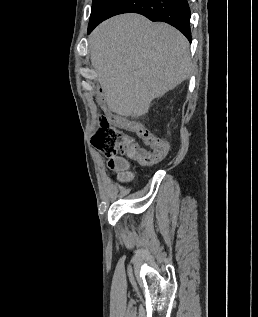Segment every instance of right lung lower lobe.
Wrapping results in <instances>:
<instances>
[{
  "instance_id": "right-lung-lower-lobe-1",
  "label": "right lung lower lobe",
  "mask_w": 258,
  "mask_h": 317,
  "mask_svg": "<svg viewBox=\"0 0 258 317\" xmlns=\"http://www.w3.org/2000/svg\"><path fill=\"white\" fill-rule=\"evenodd\" d=\"M139 13L152 21L166 22L191 42L190 8L187 0H93L88 33L107 18L122 13Z\"/></svg>"
}]
</instances>
